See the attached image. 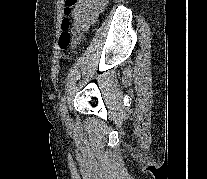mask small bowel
Here are the masks:
<instances>
[{
    "mask_svg": "<svg viewBox=\"0 0 207 179\" xmlns=\"http://www.w3.org/2000/svg\"><path fill=\"white\" fill-rule=\"evenodd\" d=\"M108 0H79L74 12L75 42H80L85 31L97 20Z\"/></svg>",
    "mask_w": 207,
    "mask_h": 179,
    "instance_id": "small-bowel-1",
    "label": "small bowel"
}]
</instances>
